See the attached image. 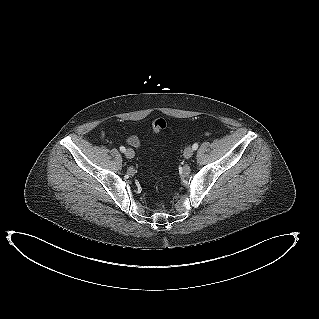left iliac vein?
Returning <instances> with one entry per match:
<instances>
[{
	"label": "left iliac vein",
	"mask_w": 319,
	"mask_h": 319,
	"mask_svg": "<svg viewBox=\"0 0 319 319\" xmlns=\"http://www.w3.org/2000/svg\"><path fill=\"white\" fill-rule=\"evenodd\" d=\"M193 154H194V150H193V148H191V147H187V148L184 150V157H185L186 159L191 158Z\"/></svg>",
	"instance_id": "left-iliac-vein-1"
}]
</instances>
